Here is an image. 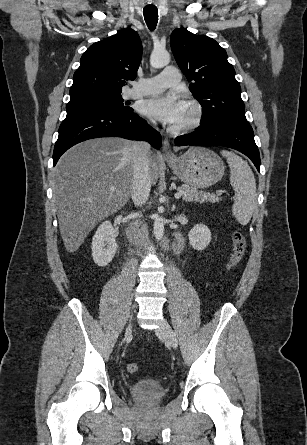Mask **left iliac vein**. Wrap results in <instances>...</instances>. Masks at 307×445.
Wrapping results in <instances>:
<instances>
[{
    "label": "left iliac vein",
    "instance_id": "left-iliac-vein-1",
    "mask_svg": "<svg viewBox=\"0 0 307 445\" xmlns=\"http://www.w3.org/2000/svg\"><path fill=\"white\" fill-rule=\"evenodd\" d=\"M156 334L167 339L173 348L178 347L177 336L170 324L165 319L160 322L159 327L156 329Z\"/></svg>",
    "mask_w": 307,
    "mask_h": 445
}]
</instances>
